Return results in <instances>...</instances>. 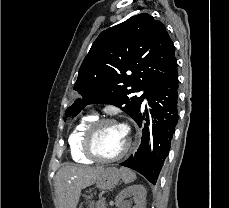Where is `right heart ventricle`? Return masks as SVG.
I'll return each mask as SVG.
<instances>
[{"label":"right heart ventricle","instance_id":"1","mask_svg":"<svg viewBox=\"0 0 229 208\" xmlns=\"http://www.w3.org/2000/svg\"><path fill=\"white\" fill-rule=\"evenodd\" d=\"M97 119V115L89 114L83 117L79 123L72 129L68 137L69 153L73 162L78 164H91L95 162L94 158H86V153H81V148L85 143V133L89 125Z\"/></svg>","mask_w":229,"mask_h":208}]
</instances>
